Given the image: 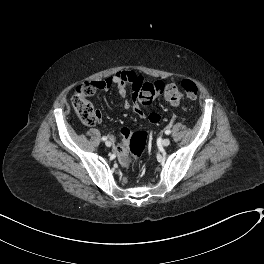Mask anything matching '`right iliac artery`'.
<instances>
[{"label":"right iliac artery","instance_id":"right-iliac-artery-1","mask_svg":"<svg viewBox=\"0 0 264 264\" xmlns=\"http://www.w3.org/2000/svg\"><path fill=\"white\" fill-rule=\"evenodd\" d=\"M102 140H103V141H106V140H107V137H106V136H103V137H102Z\"/></svg>","mask_w":264,"mask_h":264}]
</instances>
